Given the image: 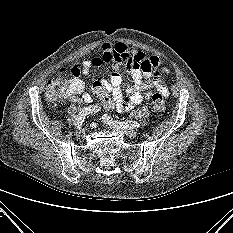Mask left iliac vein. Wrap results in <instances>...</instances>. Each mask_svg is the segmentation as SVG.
Listing matches in <instances>:
<instances>
[{"label": "left iliac vein", "instance_id": "left-iliac-vein-1", "mask_svg": "<svg viewBox=\"0 0 233 233\" xmlns=\"http://www.w3.org/2000/svg\"><path fill=\"white\" fill-rule=\"evenodd\" d=\"M104 124L110 128H113L114 130H117L125 135L135 137L137 135V132L133 129L126 128L120 125H113V124H108L106 121H104Z\"/></svg>", "mask_w": 233, "mask_h": 233}]
</instances>
